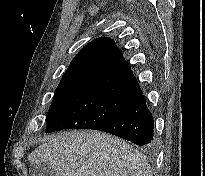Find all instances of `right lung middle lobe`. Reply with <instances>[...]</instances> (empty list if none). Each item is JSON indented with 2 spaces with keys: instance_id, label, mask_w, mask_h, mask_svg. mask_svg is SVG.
I'll use <instances>...</instances> for the list:
<instances>
[{
  "instance_id": "dd1d6c3e",
  "label": "right lung middle lobe",
  "mask_w": 205,
  "mask_h": 176,
  "mask_svg": "<svg viewBox=\"0 0 205 176\" xmlns=\"http://www.w3.org/2000/svg\"><path fill=\"white\" fill-rule=\"evenodd\" d=\"M128 101L101 92L54 96L46 116V133L69 128L99 130L111 122Z\"/></svg>"
}]
</instances>
